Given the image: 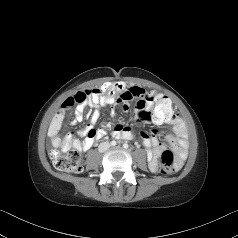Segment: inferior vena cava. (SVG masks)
I'll return each mask as SVG.
<instances>
[{
  "mask_svg": "<svg viewBox=\"0 0 238 238\" xmlns=\"http://www.w3.org/2000/svg\"><path fill=\"white\" fill-rule=\"evenodd\" d=\"M110 147V144L108 142H103L99 145V151L103 152L106 151Z\"/></svg>",
  "mask_w": 238,
  "mask_h": 238,
  "instance_id": "inferior-vena-cava-1",
  "label": "inferior vena cava"
}]
</instances>
